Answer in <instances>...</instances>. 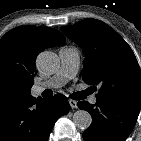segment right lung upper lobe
Listing matches in <instances>:
<instances>
[{"mask_svg":"<svg viewBox=\"0 0 141 141\" xmlns=\"http://www.w3.org/2000/svg\"><path fill=\"white\" fill-rule=\"evenodd\" d=\"M64 44L65 37L56 29L33 26L12 29L0 39V81L18 76L34 82L37 55L46 48Z\"/></svg>","mask_w":141,"mask_h":141,"instance_id":"1","label":"right lung upper lobe"}]
</instances>
